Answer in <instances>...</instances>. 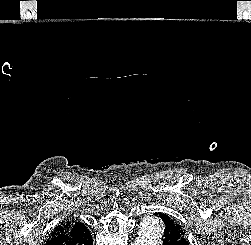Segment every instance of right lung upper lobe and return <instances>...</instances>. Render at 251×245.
Returning a JSON list of instances; mask_svg holds the SVG:
<instances>
[{"mask_svg":"<svg viewBox=\"0 0 251 245\" xmlns=\"http://www.w3.org/2000/svg\"><path fill=\"white\" fill-rule=\"evenodd\" d=\"M86 228V226L77 221L73 220H67L65 222H62L58 227L54 229V231L51 233V236L66 234L69 232H79L80 230H83Z\"/></svg>","mask_w":251,"mask_h":245,"instance_id":"obj_1","label":"right lung upper lobe"}]
</instances>
